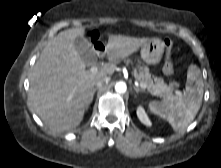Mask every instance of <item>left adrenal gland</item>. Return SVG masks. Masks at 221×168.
<instances>
[{
  "mask_svg": "<svg viewBox=\"0 0 221 168\" xmlns=\"http://www.w3.org/2000/svg\"><path fill=\"white\" fill-rule=\"evenodd\" d=\"M133 88H134L136 94H138L139 92H145V90L140 89V88H138V87H135V86H134Z\"/></svg>",
  "mask_w": 221,
  "mask_h": 168,
  "instance_id": "a2214340",
  "label": "left adrenal gland"
}]
</instances>
